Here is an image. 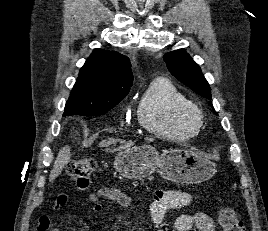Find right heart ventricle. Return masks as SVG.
<instances>
[{
	"mask_svg": "<svg viewBox=\"0 0 268 231\" xmlns=\"http://www.w3.org/2000/svg\"><path fill=\"white\" fill-rule=\"evenodd\" d=\"M192 102L169 80L158 78L143 94L137 117L149 133L162 138L187 140L199 132L200 124L188 116Z\"/></svg>",
	"mask_w": 268,
	"mask_h": 231,
	"instance_id": "e07e8e85",
	"label": "right heart ventricle"
}]
</instances>
